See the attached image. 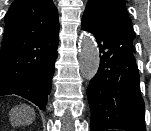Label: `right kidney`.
<instances>
[{
  "instance_id": "right-kidney-1",
  "label": "right kidney",
  "mask_w": 151,
  "mask_h": 131,
  "mask_svg": "<svg viewBox=\"0 0 151 131\" xmlns=\"http://www.w3.org/2000/svg\"><path fill=\"white\" fill-rule=\"evenodd\" d=\"M25 112V114H26V112H27V109L24 111ZM27 115V114H26ZM27 122V116H26V119H25V123Z\"/></svg>"
}]
</instances>
